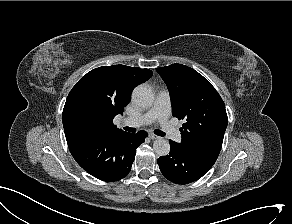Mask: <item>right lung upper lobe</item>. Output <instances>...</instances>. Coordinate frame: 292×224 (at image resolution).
<instances>
[{
    "instance_id": "1",
    "label": "right lung upper lobe",
    "mask_w": 292,
    "mask_h": 224,
    "mask_svg": "<svg viewBox=\"0 0 292 224\" xmlns=\"http://www.w3.org/2000/svg\"><path fill=\"white\" fill-rule=\"evenodd\" d=\"M152 75L149 69L125 65L102 66L88 72L67 97L62 115L65 136L126 133L113 124V119L123 113L132 90ZM81 110L89 113L85 121L78 117Z\"/></svg>"
}]
</instances>
